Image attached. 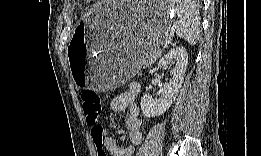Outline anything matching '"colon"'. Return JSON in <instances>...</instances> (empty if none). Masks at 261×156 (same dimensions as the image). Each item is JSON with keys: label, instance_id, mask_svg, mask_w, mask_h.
Segmentation results:
<instances>
[{"label": "colon", "instance_id": "1", "mask_svg": "<svg viewBox=\"0 0 261 156\" xmlns=\"http://www.w3.org/2000/svg\"><path fill=\"white\" fill-rule=\"evenodd\" d=\"M81 104L87 123L94 126V129L92 131V137L99 153L102 154L103 133L101 127L97 126L102 112L101 98L94 91H84L81 94Z\"/></svg>", "mask_w": 261, "mask_h": 156}]
</instances>
